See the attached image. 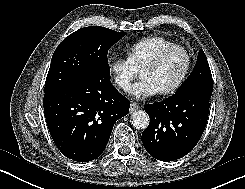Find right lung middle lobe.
<instances>
[{
	"label": "right lung middle lobe",
	"mask_w": 245,
	"mask_h": 189,
	"mask_svg": "<svg viewBox=\"0 0 245 189\" xmlns=\"http://www.w3.org/2000/svg\"><path fill=\"white\" fill-rule=\"evenodd\" d=\"M125 35L99 26L70 34L53 54L44 93L73 85L98 72L110 74L108 50Z\"/></svg>",
	"instance_id": "obj_1"
}]
</instances>
